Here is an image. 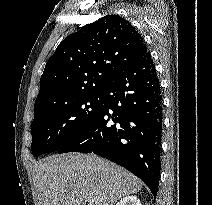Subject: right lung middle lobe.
I'll return each instance as SVG.
<instances>
[{
	"instance_id": "1",
	"label": "right lung middle lobe",
	"mask_w": 212,
	"mask_h": 205,
	"mask_svg": "<svg viewBox=\"0 0 212 205\" xmlns=\"http://www.w3.org/2000/svg\"><path fill=\"white\" fill-rule=\"evenodd\" d=\"M102 93L84 96L34 115L31 150L35 156L58 151L99 113Z\"/></svg>"
}]
</instances>
